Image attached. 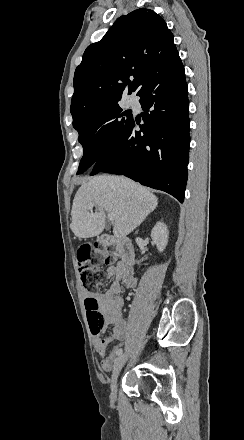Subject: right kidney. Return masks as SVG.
Here are the masks:
<instances>
[{"mask_svg":"<svg viewBox=\"0 0 244 440\" xmlns=\"http://www.w3.org/2000/svg\"><path fill=\"white\" fill-rule=\"evenodd\" d=\"M151 238L155 242L159 252H164L168 244V230L163 222H157L151 232Z\"/></svg>","mask_w":244,"mask_h":440,"instance_id":"ca27d5eb","label":"right kidney"}]
</instances>
